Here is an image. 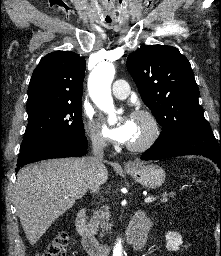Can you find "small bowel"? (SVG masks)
Wrapping results in <instances>:
<instances>
[{"label": "small bowel", "instance_id": "obj_1", "mask_svg": "<svg viewBox=\"0 0 221 256\" xmlns=\"http://www.w3.org/2000/svg\"><path fill=\"white\" fill-rule=\"evenodd\" d=\"M149 226H150V221L147 220V222H146V230L149 228ZM144 236H145V235H144ZM144 236H143V238H142L141 240H139L137 243H135V245H136V247H137L138 249H142V247H143V244H144ZM142 256H145V255H142Z\"/></svg>", "mask_w": 221, "mask_h": 256}]
</instances>
